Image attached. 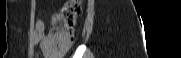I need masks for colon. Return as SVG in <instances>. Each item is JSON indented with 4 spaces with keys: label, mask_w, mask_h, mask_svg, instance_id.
I'll return each mask as SVG.
<instances>
[{
    "label": "colon",
    "mask_w": 181,
    "mask_h": 58,
    "mask_svg": "<svg viewBox=\"0 0 181 58\" xmlns=\"http://www.w3.org/2000/svg\"><path fill=\"white\" fill-rule=\"evenodd\" d=\"M80 11V1L69 0L53 15L52 31L46 40L49 50L57 54H64L72 46L74 28Z\"/></svg>",
    "instance_id": "1"
}]
</instances>
